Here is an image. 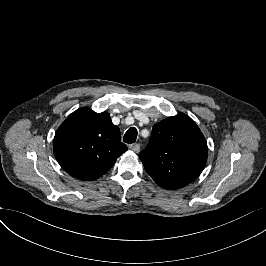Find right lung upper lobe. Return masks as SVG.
<instances>
[{"instance_id":"cb5924a9","label":"right lung upper lobe","mask_w":266,"mask_h":266,"mask_svg":"<svg viewBox=\"0 0 266 266\" xmlns=\"http://www.w3.org/2000/svg\"><path fill=\"white\" fill-rule=\"evenodd\" d=\"M54 155L61 167L80 180L104 175L127 146L109 113H96L88 107L70 114L56 131Z\"/></svg>"}]
</instances>
